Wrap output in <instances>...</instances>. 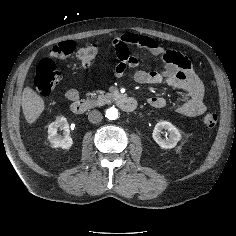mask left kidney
<instances>
[{"mask_svg":"<svg viewBox=\"0 0 236 236\" xmlns=\"http://www.w3.org/2000/svg\"><path fill=\"white\" fill-rule=\"evenodd\" d=\"M165 129L169 132V138L163 139L161 137L162 130ZM154 141L162 148V149H172L177 143L181 140L180 131L170 122L168 121H160L155 125V128L152 133Z\"/></svg>","mask_w":236,"mask_h":236,"instance_id":"left-kidney-1","label":"left kidney"}]
</instances>
